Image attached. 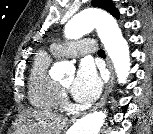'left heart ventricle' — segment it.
I'll list each match as a JSON object with an SVG mask.
<instances>
[{
    "label": "left heart ventricle",
    "instance_id": "1",
    "mask_svg": "<svg viewBox=\"0 0 153 134\" xmlns=\"http://www.w3.org/2000/svg\"><path fill=\"white\" fill-rule=\"evenodd\" d=\"M71 84H72V77H69L68 79L62 82V85L65 86L66 88H69Z\"/></svg>",
    "mask_w": 153,
    "mask_h": 134
}]
</instances>
